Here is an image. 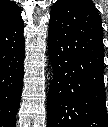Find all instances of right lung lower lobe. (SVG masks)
Segmentation results:
<instances>
[{
	"label": "right lung lower lobe",
	"instance_id": "obj_1",
	"mask_svg": "<svg viewBox=\"0 0 108 127\" xmlns=\"http://www.w3.org/2000/svg\"><path fill=\"white\" fill-rule=\"evenodd\" d=\"M24 25L17 21L0 24V126L14 127L24 73Z\"/></svg>",
	"mask_w": 108,
	"mask_h": 127
}]
</instances>
